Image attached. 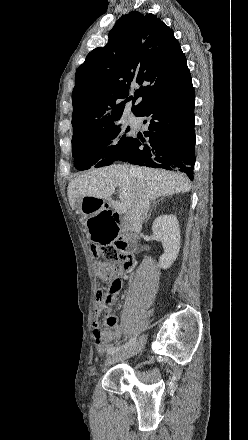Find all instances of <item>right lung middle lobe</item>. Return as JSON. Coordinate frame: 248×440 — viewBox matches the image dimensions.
<instances>
[{
    "instance_id": "dd1d6c3e",
    "label": "right lung middle lobe",
    "mask_w": 248,
    "mask_h": 440,
    "mask_svg": "<svg viewBox=\"0 0 248 440\" xmlns=\"http://www.w3.org/2000/svg\"><path fill=\"white\" fill-rule=\"evenodd\" d=\"M128 131L129 127L124 131L117 123L96 132L73 135L72 154L75 167L78 170H87L119 160L132 139Z\"/></svg>"
}]
</instances>
